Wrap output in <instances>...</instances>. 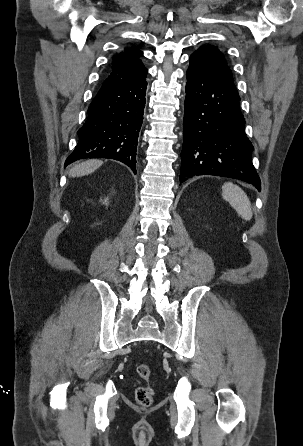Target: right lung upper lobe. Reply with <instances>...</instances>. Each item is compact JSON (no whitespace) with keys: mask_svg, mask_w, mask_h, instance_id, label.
Returning a JSON list of instances; mask_svg holds the SVG:
<instances>
[{"mask_svg":"<svg viewBox=\"0 0 303 446\" xmlns=\"http://www.w3.org/2000/svg\"><path fill=\"white\" fill-rule=\"evenodd\" d=\"M140 56H142V52L134 46L115 55L112 58V65L108 76L101 88H108L113 85L134 81L145 76L147 69L140 61Z\"/></svg>","mask_w":303,"mask_h":446,"instance_id":"cb5924a9","label":"right lung upper lobe"}]
</instances>
